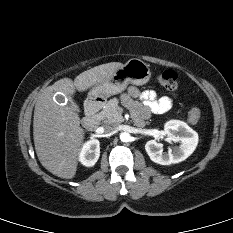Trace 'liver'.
Segmentation results:
<instances>
[{"instance_id":"6515ba94","label":"liver","mask_w":233,"mask_h":233,"mask_svg":"<svg viewBox=\"0 0 233 233\" xmlns=\"http://www.w3.org/2000/svg\"><path fill=\"white\" fill-rule=\"evenodd\" d=\"M121 66L120 62L102 64L82 72L74 81L63 78L40 90L34 109V145L40 163L53 175L74 178L84 140L79 115L70 105L56 103L54 92L70 97L75 90L85 91L109 79Z\"/></svg>"}]
</instances>
